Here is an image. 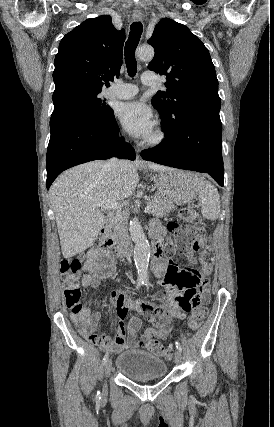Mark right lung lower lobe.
Listing matches in <instances>:
<instances>
[{
    "mask_svg": "<svg viewBox=\"0 0 274 427\" xmlns=\"http://www.w3.org/2000/svg\"><path fill=\"white\" fill-rule=\"evenodd\" d=\"M112 156L135 160L134 149L119 136L114 113L100 120L78 117L59 123L47 150V189L62 171Z\"/></svg>",
    "mask_w": 274,
    "mask_h": 427,
    "instance_id": "1",
    "label": "right lung lower lobe"
}]
</instances>
